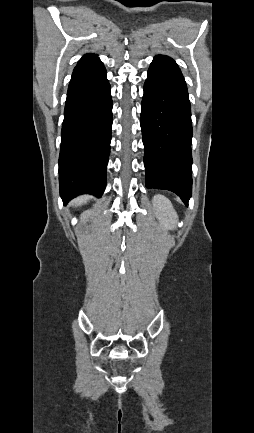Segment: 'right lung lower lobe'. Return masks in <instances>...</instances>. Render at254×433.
Wrapping results in <instances>:
<instances>
[{"mask_svg": "<svg viewBox=\"0 0 254 433\" xmlns=\"http://www.w3.org/2000/svg\"><path fill=\"white\" fill-rule=\"evenodd\" d=\"M112 98L99 58L79 63L68 87L59 156L60 196L100 197L110 153Z\"/></svg>", "mask_w": 254, "mask_h": 433, "instance_id": "right-lung-lower-lobe-1", "label": "right lung lower lobe"}]
</instances>
